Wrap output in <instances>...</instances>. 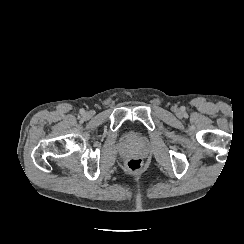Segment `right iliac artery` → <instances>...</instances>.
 <instances>
[{
  "mask_svg": "<svg viewBox=\"0 0 244 244\" xmlns=\"http://www.w3.org/2000/svg\"><path fill=\"white\" fill-rule=\"evenodd\" d=\"M80 113L84 114L85 113L84 109H80Z\"/></svg>",
  "mask_w": 244,
  "mask_h": 244,
  "instance_id": "obj_1",
  "label": "right iliac artery"
}]
</instances>
